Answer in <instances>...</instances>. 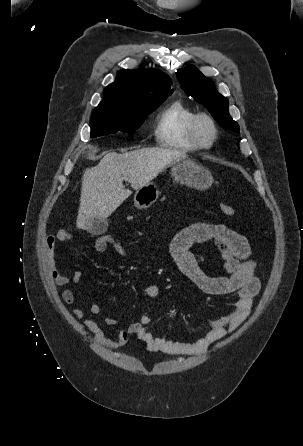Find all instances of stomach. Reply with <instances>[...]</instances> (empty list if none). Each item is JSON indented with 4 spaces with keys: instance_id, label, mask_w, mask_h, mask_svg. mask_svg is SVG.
Masks as SVG:
<instances>
[{
    "instance_id": "stomach-1",
    "label": "stomach",
    "mask_w": 303,
    "mask_h": 446,
    "mask_svg": "<svg viewBox=\"0 0 303 446\" xmlns=\"http://www.w3.org/2000/svg\"><path fill=\"white\" fill-rule=\"evenodd\" d=\"M170 167L174 180L190 188L205 190L213 182L211 172L190 159L181 158L171 163ZM158 196V188L150 182L137 189L134 195V205L138 209H147L157 200Z\"/></svg>"
}]
</instances>
